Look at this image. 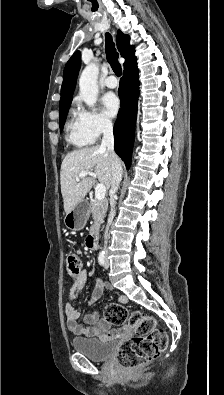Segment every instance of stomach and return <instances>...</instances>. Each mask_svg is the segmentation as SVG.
<instances>
[{
  "label": "stomach",
  "mask_w": 224,
  "mask_h": 395,
  "mask_svg": "<svg viewBox=\"0 0 224 395\" xmlns=\"http://www.w3.org/2000/svg\"><path fill=\"white\" fill-rule=\"evenodd\" d=\"M89 204L86 201L79 202L64 218L65 226L70 230H81L89 218Z\"/></svg>",
  "instance_id": "obj_1"
}]
</instances>
